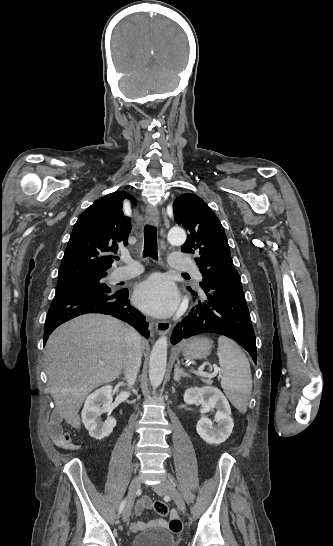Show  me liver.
Wrapping results in <instances>:
<instances>
[{
	"mask_svg": "<svg viewBox=\"0 0 333 546\" xmlns=\"http://www.w3.org/2000/svg\"><path fill=\"white\" fill-rule=\"evenodd\" d=\"M127 330L112 317L86 314L50 335L46 344L48 384L56 410L68 424L78 422V412L93 389L120 375Z\"/></svg>",
	"mask_w": 333,
	"mask_h": 546,
	"instance_id": "6515ba94",
	"label": "liver"
}]
</instances>
